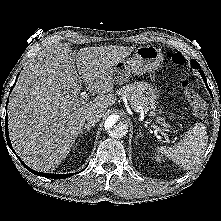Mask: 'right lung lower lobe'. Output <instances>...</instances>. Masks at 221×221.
Returning a JSON list of instances; mask_svg holds the SVG:
<instances>
[{
  "label": "right lung lower lobe",
  "instance_id": "98d812e1",
  "mask_svg": "<svg viewBox=\"0 0 221 221\" xmlns=\"http://www.w3.org/2000/svg\"><path fill=\"white\" fill-rule=\"evenodd\" d=\"M0 128L2 130V126L0 124ZM5 135H6V139H7V143L9 145V147L12 149L13 151V148L11 146V143H10V139H9V134H8V128H7V116H6V119H5ZM21 161V160H20ZM21 163L23 164V166L28 169L30 172L34 173L35 175H38V176H43V177H47V178H53V179H62V178H66V177H70L72 175H74L75 173H70V174H48V173H40V172H36L32 169H30L29 167H27L22 161Z\"/></svg>",
  "mask_w": 221,
  "mask_h": 221
}]
</instances>
